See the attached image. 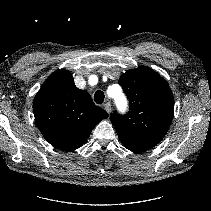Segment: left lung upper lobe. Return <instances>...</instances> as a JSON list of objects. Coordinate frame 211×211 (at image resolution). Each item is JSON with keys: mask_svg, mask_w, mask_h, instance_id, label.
I'll use <instances>...</instances> for the list:
<instances>
[{"mask_svg": "<svg viewBox=\"0 0 211 211\" xmlns=\"http://www.w3.org/2000/svg\"><path fill=\"white\" fill-rule=\"evenodd\" d=\"M119 84L129 98L130 111L110 116L125 147L150 149L165 136L174 113V97L154 70L139 67L122 74Z\"/></svg>", "mask_w": 211, "mask_h": 211, "instance_id": "1", "label": "left lung upper lobe"}]
</instances>
